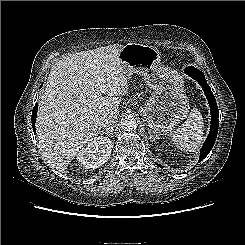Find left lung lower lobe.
I'll return each mask as SVG.
<instances>
[{"label": "left lung lower lobe", "mask_w": 245, "mask_h": 245, "mask_svg": "<svg viewBox=\"0 0 245 245\" xmlns=\"http://www.w3.org/2000/svg\"><path fill=\"white\" fill-rule=\"evenodd\" d=\"M185 73L188 74L191 78H193L200 84L210 106V113H211L210 132L200 152V157L198 162H201L209 154L217 138L218 124H219L218 106L214 98V95L206 82L204 74L192 66L187 67L185 69ZM158 166L163 167L159 164Z\"/></svg>", "instance_id": "left-lung-lower-lobe-1"}]
</instances>
